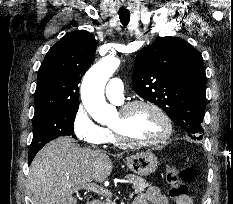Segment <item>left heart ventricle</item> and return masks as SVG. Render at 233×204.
Masks as SVG:
<instances>
[{"label": "left heart ventricle", "instance_id": "left-heart-ventricle-1", "mask_svg": "<svg viewBox=\"0 0 233 204\" xmlns=\"http://www.w3.org/2000/svg\"><path fill=\"white\" fill-rule=\"evenodd\" d=\"M112 126L119 127L123 134L134 141H150L164 133L162 119L150 108L136 107L126 116L117 113Z\"/></svg>", "mask_w": 233, "mask_h": 204}]
</instances>
